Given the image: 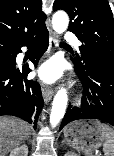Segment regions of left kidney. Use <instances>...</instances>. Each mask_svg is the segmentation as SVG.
I'll return each instance as SVG.
<instances>
[{
  "instance_id": "left-kidney-1",
  "label": "left kidney",
  "mask_w": 114,
  "mask_h": 156,
  "mask_svg": "<svg viewBox=\"0 0 114 156\" xmlns=\"http://www.w3.org/2000/svg\"><path fill=\"white\" fill-rule=\"evenodd\" d=\"M65 156H78L76 153L72 152V151H68Z\"/></svg>"
}]
</instances>
